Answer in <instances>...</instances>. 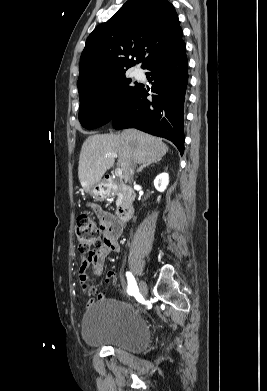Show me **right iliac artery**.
Segmentation results:
<instances>
[{
  "label": "right iliac artery",
  "mask_w": 267,
  "mask_h": 391,
  "mask_svg": "<svg viewBox=\"0 0 267 391\" xmlns=\"http://www.w3.org/2000/svg\"><path fill=\"white\" fill-rule=\"evenodd\" d=\"M128 279V294L134 295L138 293V287L133 275L130 272L126 273Z\"/></svg>",
  "instance_id": "obj_1"
}]
</instances>
